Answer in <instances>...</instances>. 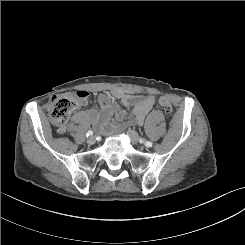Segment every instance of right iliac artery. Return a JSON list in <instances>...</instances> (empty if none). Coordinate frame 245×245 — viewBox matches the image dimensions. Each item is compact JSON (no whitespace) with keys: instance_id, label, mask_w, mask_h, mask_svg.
I'll use <instances>...</instances> for the list:
<instances>
[{"instance_id":"82829eb1","label":"right iliac artery","mask_w":245,"mask_h":245,"mask_svg":"<svg viewBox=\"0 0 245 245\" xmlns=\"http://www.w3.org/2000/svg\"><path fill=\"white\" fill-rule=\"evenodd\" d=\"M86 135H87V137L92 136L93 135V131H91V130L88 131Z\"/></svg>"}]
</instances>
